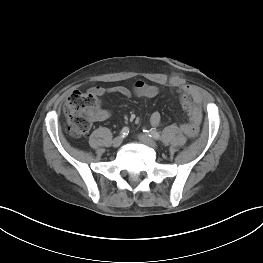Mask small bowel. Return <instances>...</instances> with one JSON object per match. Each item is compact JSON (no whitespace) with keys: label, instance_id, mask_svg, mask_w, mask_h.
Here are the masks:
<instances>
[{"label":"small bowel","instance_id":"c3829d8e","mask_svg":"<svg viewBox=\"0 0 263 263\" xmlns=\"http://www.w3.org/2000/svg\"><path fill=\"white\" fill-rule=\"evenodd\" d=\"M91 90L97 92L99 95H103L105 93H113V94H119L124 97H130L133 94L137 97L147 98V99L154 98L159 94L158 86L150 85L143 81L135 82L132 89L118 85L110 88L94 87ZM183 91L187 95L191 96V98L195 103L193 107L192 119L194 126H196L197 123L200 121V129H194V131H192L191 125H182V130H184V134H186V136H189L191 138L192 136L197 137L198 135H203V129H205V120H204V115H201V109H200L201 95L197 90H195L191 86H184ZM106 117H107L106 112H101L98 115L99 119H105ZM160 122H161L160 113L153 112L150 115V123L153 126H157L160 124Z\"/></svg>","mask_w":263,"mask_h":263}]
</instances>
